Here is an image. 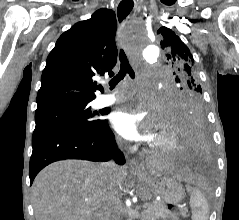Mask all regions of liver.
<instances>
[{
	"mask_svg": "<svg viewBox=\"0 0 239 220\" xmlns=\"http://www.w3.org/2000/svg\"><path fill=\"white\" fill-rule=\"evenodd\" d=\"M126 176L124 167L117 168L113 188L108 184L103 165L84 160L52 163L37 175L32 185L36 220H95L100 208L104 214L113 215L118 186ZM174 177L187 182L192 179L185 170L176 171Z\"/></svg>",
	"mask_w": 239,
	"mask_h": 220,
	"instance_id": "1",
	"label": "liver"
}]
</instances>
